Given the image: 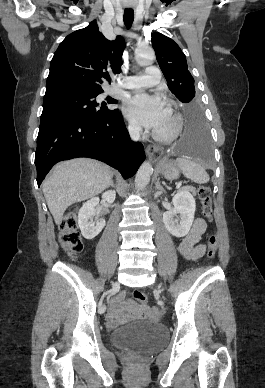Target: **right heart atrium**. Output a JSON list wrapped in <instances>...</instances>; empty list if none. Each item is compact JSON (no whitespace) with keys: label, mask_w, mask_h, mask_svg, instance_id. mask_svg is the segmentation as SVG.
Wrapping results in <instances>:
<instances>
[{"label":"right heart atrium","mask_w":265,"mask_h":388,"mask_svg":"<svg viewBox=\"0 0 265 388\" xmlns=\"http://www.w3.org/2000/svg\"><path fill=\"white\" fill-rule=\"evenodd\" d=\"M129 129H130L131 133H133V134H139L141 132L139 126L134 124V123H131L129 125Z\"/></svg>","instance_id":"d8ad5b80"}]
</instances>
